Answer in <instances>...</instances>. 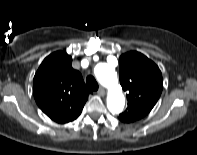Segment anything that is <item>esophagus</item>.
Here are the masks:
<instances>
[{
	"label": "esophagus",
	"mask_w": 197,
	"mask_h": 155,
	"mask_svg": "<svg viewBox=\"0 0 197 155\" xmlns=\"http://www.w3.org/2000/svg\"><path fill=\"white\" fill-rule=\"evenodd\" d=\"M98 94L102 97H104L106 95V91L103 87H101L99 90H98Z\"/></svg>",
	"instance_id": "esophagus-1"
}]
</instances>
